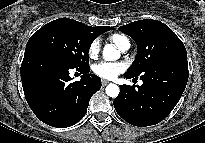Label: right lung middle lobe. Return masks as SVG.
Returning <instances> with one entry per match:
<instances>
[{
    "label": "right lung middle lobe",
    "mask_w": 205,
    "mask_h": 143,
    "mask_svg": "<svg viewBox=\"0 0 205 143\" xmlns=\"http://www.w3.org/2000/svg\"><path fill=\"white\" fill-rule=\"evenodd\" d=\"M96 37L81 22L60 18L36 31L28 40L26 49L47 51L74 68H88V51Z\"/></svg>",
    "instance_id": "dd1d6c3e"
}]
</instances>
